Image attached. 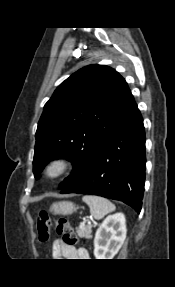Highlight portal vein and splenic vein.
<instances>
[{
  "mask_svg": "<svg viewBox=\"0 0 175 287\" xmlns=\"http://www.w3.org/2000/svg\"><path fill=\"white\" fill-rule=\"evenodd\" d=\"M88 224H91L90 221H88ZM84 227V223L80 224V228Z\"/></svg>",
  "mask_w": 175,
  "mask_h": 287,
  "instance_id": "1",
  "label": "portal vein and splenic vein"
}]
</instances>
